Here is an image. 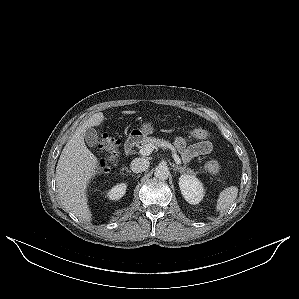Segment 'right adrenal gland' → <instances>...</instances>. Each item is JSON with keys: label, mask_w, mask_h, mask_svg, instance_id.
<instances>
[{"label": "right adrenal gland", "mask_w": 299, "mask_h": 299, "mask_svg": "<svg viewBox=\"0 0 299 299\" xmlns=\"http://www.w3.org/2000/svg\"><path fill=\"white\" fill-rule=\"evenodd\" d=\"M125 170H126V172L129 173L130 175L135 176L133 173H131V170H129V169H125Z\"/></svg>", "instance_id": "2a0ac1e0"}]
</instances>
